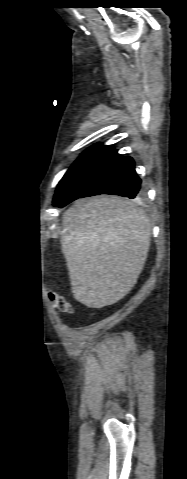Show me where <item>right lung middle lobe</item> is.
<instances>
[{
    "label": "right lung middle lobe",
    "mask_w": 187,
    "mask_h": 479,
    "mask_svg": "<svg viewBox=\"0 0 187 479\" xmlns=\"http://www.w3.org/2000/svg\"><path fill=\"white\" fill-rule=\"evenodd\" d=\"M113 150L114 149L112 147L96 144L83 152L59 182L54 196V202L77 178H79L93 165L110 154Z\"/></svg>",
    "instance_id": "dd1d6c3e"
}]
</instances>
